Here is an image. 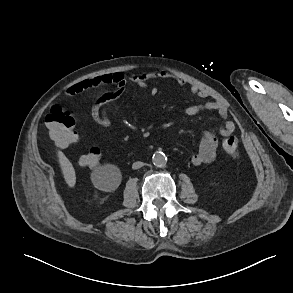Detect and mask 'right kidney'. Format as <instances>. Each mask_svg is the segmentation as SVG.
Instances as JSON below:
<instances>
[{
  "label": "right kidney",
  "instance_id": "ca27d5eb",
  "mask_svg": "<svg viewBox=\"0 0 293 293\" xmlns=\"http://www.w3.org/2000/svg\"><path fill=\"white\" fill-rule=\"evenodd\" d=\"M103 174L106 175L108 179L114 182L116 186L120 184L121 181V172L120 169L112 164H107L102 167Z\"/></svg>",
  "mask_w": 293,
  "mask_h": 293
}]
</instances>
